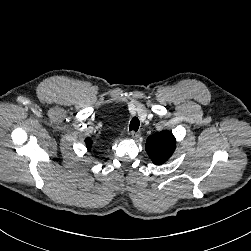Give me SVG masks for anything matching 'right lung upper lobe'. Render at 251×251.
I'll use <instances>...</instances> for the list:
<instances>
[{
    "mask_svg": "<svg viewBox=\"0 0 251 251\" xmlns=\"http://www.w3.org/2000/svg\"><path fill=\"white\" fill-rule=\"evenodd\" d=\"M85 142H86L87 148H90V147H91V144H92L91 140H90L89 138H87V139L85 140Z\"/></svg>",
    "mask_w": 251,
    "mask_h": 251,
    "instance_id": "1",
    "label": "right lung upper lobe"
}]
</instances>
